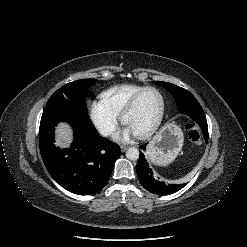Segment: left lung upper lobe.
I'll use <instances>...</instances> for the list:
<instances>
[{
  "instance_id": "left-lung-upper-lobe-1",
  "label": "left lung upper lobe",
  "mask_w": 247,
  "mask_h": 247,
  "mask_svg": "<svg viewBox=\"0 0 247 247\" xmlns=\"http://www.w3.org/2000/svg\"><path fill=\"white\" fill-rule=\"evenodd\" d=\"M155 84L166 88L175 98L178 110L192 121L197 123L199 120L206 119L201 105L189 91L168 82L155 81Z\"/></svg>"
}]
</instances>
